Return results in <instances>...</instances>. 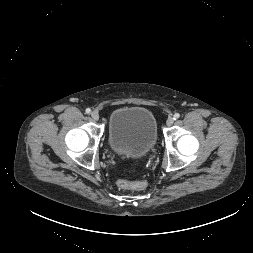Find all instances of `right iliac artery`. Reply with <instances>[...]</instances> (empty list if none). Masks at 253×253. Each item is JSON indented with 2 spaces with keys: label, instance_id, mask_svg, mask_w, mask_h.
I'll list each match as a JSON object with an SVG mask.
<instances>
[{
  "label": "right iliac artery",
  "instance_id": "1",
  "mask_svg": "<svg viewBox=\"0 0 253 253\" xmlns=\"http://www.w3.org/2000/svg\"><path fill=\"white\" fill-rule=\"evenodd\" d=\"M86 113H87V114H90V113H91V109L87 108V109H86Z\"/></svg>",
  "mask_w": 253,
  "mask_h": 253
}]
</instances>
